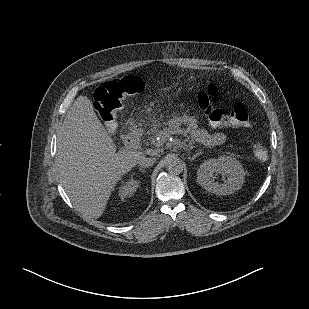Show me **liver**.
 <instances>
[{
    "label": "liver",
    "mask_w": 309,
    "mask_h": 309,
    "mask_svg": "<svg viewBox=\"0 0 309 309\" xmlns=\"http://www.w3.org/2000/svg\"><path fill=\"white\" fill-rule=\"evenodd\" d=\"M141 157L136 150L116 152L90 99L74 101L58 132L57 166L65 192L83 215L101 217L117 181Z\"/></svg>",
    "instance_id": "liver-1"
}]
</instances>
